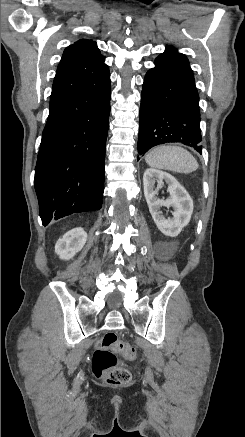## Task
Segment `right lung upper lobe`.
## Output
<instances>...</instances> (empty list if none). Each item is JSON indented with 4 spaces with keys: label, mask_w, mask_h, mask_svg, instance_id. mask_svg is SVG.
<instances>
[{
    "label": "right lung upper lobe",
    "mask_w": 245,
    "mask_h": 437,
    "mask_svg": "<svg viewBox=\"0 0 245 437\" xmlns=\"http://www.w3.org/2000/svg\"><path fill=\"white\" fill-rule=\"evenodd\" d=\"M105 59L93 40L81 39L68 46L57 67L51 101L85 93L110 76Z\"/></svg>",
    "instance_id": "1"
}]
</instances>
